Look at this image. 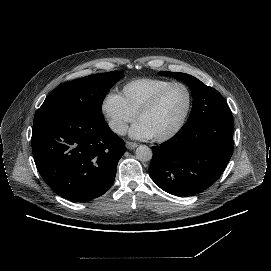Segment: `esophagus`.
I'll return each mask as SVG.
<instances>
[{"label":"esophagus","mask_w":271,"mask_h":271,"mask_svg":"<svg viewBox=\"0 0 271 271\" xmlns=\"http://www.w3.org/2000/svg\"><path fill=\"white\" fill-rule=\"evenodd\" d=\"M137 146H138V144L135 143V142H130V141H127V142H126V147H127L128 149H135Z\"/></svg>","instance_id":"1"}]
</instances>
